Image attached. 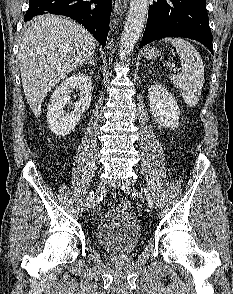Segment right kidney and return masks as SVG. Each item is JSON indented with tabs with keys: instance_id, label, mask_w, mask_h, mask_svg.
Masks as SVG:
<instances>
[{
	"instance_id": "obj_1",
	"label": "right kidney",
	"mask_w": 233,
	"mask_h": 294,
	"mask_svg": "<svg viewBox=\"0 0 233 294\" xmlns=\"http://www.w3.org/2000/svg\"><path fill=\"white\" fill-rule=\"evenodd\" d=\"M73 90L79 91L80 99L74 103V110L64 111L71 101ZM92 95V82L88 75L74 74L66 78L54 91L48 104L47 123L56 136L69 134L80 121L82 114L89 108Z\"/></svg>"
}]
</instances>
